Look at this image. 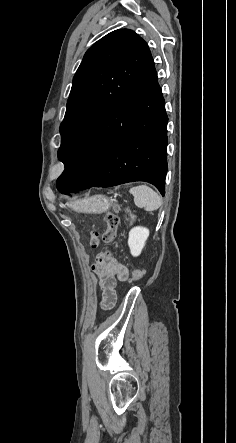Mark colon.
<instances>
[{
  "mask_svg": "<svg viewBox=\"0 0 236 443\" xmlns=\"http://www.w3.org/2000/svg\"><path fill=\"white\" fill-rule=\"evenodd\" d=\"M119 211V205L114 204L112 210L106 213L105 215V223L106 229L103 233L99 234L97 231H94L91 237V245L93 247H97L100 242L104 243L107 247L113 246L116 242L117 237V229L119 225V217L117 215ZM129 215V223H133L135 221V216L128 211ZM143 276V271L140 269H135L132 272V279L139 280Z\"/></svg>",
  "mask_w": 236,
  "mask_h": 443,
  "instance_id": "5ec220e1",
  "label": "colon"
}]
</instances>
